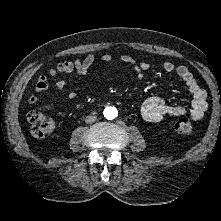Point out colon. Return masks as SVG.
<instances>
[{
    "label": "colon",
    "mask_w": 221,
    "mask_h": 221,
    "mask_svg": "<svg viewBox=\"0 0 221 221\" xmlns=\"http://www.w3.org/2000/svg\"><path fill=\"white\" fill-rule=\"evenodd\" d=\"M28 120L31 126L32 134L35 137H45L53 134L56 130L55 121L48 115L33 111L29 113ZM174 128L180 134H190L193 129L192 122L188 118H181L175 122Z\"/></svg>",
    "instance_id": "obj_1"
}]
</instances>
